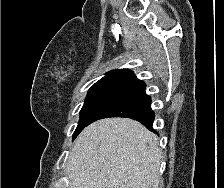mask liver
<instances>
[{"label":"liver","mask_w":224,"mask_h":188,"mask_svg":"<svg viewBox=\"0 0 224 188\" xmlns=\"http://www.w3.org/2000/svg\"><path fill=\"white\" fill-rule=\"evenodd\" d=\"M158 138L126 118L99 120L77 138L67 161L69 188H158Z\"/></svg>","instance_id":"obj_1"}]
</instances>
